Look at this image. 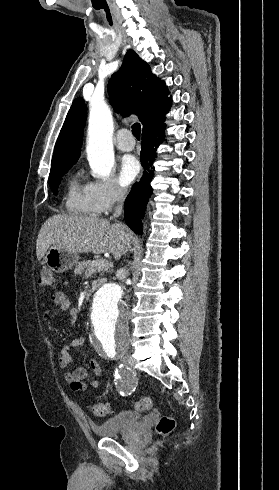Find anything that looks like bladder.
Returning <instances> with one entry per match:
<instances>
[{
  "label": "bladder",
  "mask_w": 279,
  "mask_h": 490,
  "mask_svg": "<svg viewBox=\"0 0 279 490\" xmlns=\"http://www.w3.org/2000/svg\"><path fill=\"white\" fill-rule=\"evenodd\" d=\"M143 420V415L134 410H125L93 427L100 438L119 435L124 431H134Z\"/></svg>",
  "instance_id": "bladder-1"
}]
</instances>
